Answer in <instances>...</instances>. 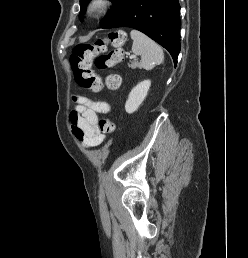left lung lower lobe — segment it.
Here are the masks:
<instances>
[{"label":"left lung lower lobe","mask_w":248,"mask_h":258,"mask_svg":"<svg viewBox=\"0 0 248 258\" xmlns=\"http://www.w3.org/2000/svg\"><path fill=\"white\" fill-rule=\"evenodd\" d=\"M180 5L178 0H129L103 29L131 27L159 43L174 64L180 52Z\"/></svg>","instance_id":"obj_1"}]
</instances>
